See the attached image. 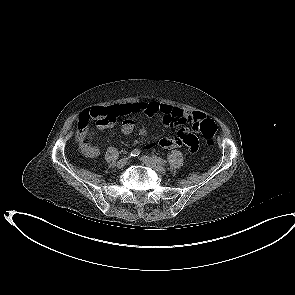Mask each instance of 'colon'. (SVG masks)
Returning <instances> with one entry per match:
<instances>
[{"label": "colon", "mask_w": 295, "mask_h": 295, "mask_svg": "<svg viewBox=\"0 0 295 295\" xmlns=\"http://www.w3.org/2000/svg\"><path fill=\"white\" fill-rule=\"evenodd\" d=\"M109 116V110L106 107H95L91 110L84 111L78 120V130L76 133L77 141L85 145L93 132L92 123L98 125L100 122L107 120ZM195 127L200 131L207 143H212L214 141L217 131L214 120L209 118L203 119L201 122L196 123Z\"/></svg>", "instance_id": "1"}]
</instances>
